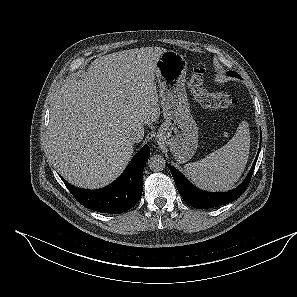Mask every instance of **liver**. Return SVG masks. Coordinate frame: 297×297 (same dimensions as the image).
Returning <instances> with one entry per match:
<instances>
[{"label": "liver", "mask_w": 297, "mask_h": 297, "mask_svg": "<svg viewBox=\"0 0 297 297\" xmlns=\"http://www.w3.org/2000/svg\"><path fill=\"white\" fill-rule=\"evenodd\" d=\"M160 47L124 50L95 59L83 78L66 82L54 98L48 147L58 172L72 185L95 189L128 165L129 133L160 115L155 65Z\"/></svg>", "instance_id": "liver-1"}]
</instances>
